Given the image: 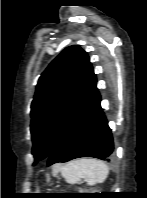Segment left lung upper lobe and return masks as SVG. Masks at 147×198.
I'll use <instances>...</instances> for the list:
<instances>
[{
	"mask_svg": "<svg viewBox=\"0 0 147 198\" xmlns=\"http://www.w3.org/2000/svg\"><path fill=\"white\" fill-rule=\"evenodd\" d=\"M95 85L96 75L89 57L77 45L64 49L41 74L31 104L33 165L48 159Z\"/></svg>",
	"mask_w": 147,
	"mask_h": 198,
	"instance_id": "left-lung-upper-lobe-1",
	"label": "left lung upper lobe"
}]
</instances>
